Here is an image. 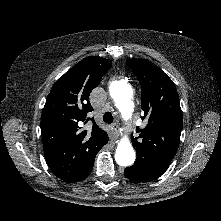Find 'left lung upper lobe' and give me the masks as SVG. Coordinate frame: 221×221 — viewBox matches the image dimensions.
I'll return each mask as SVG.
<instances>
[{"instance_id":"5c2ea615","label":"left lung upper lobe","mask_w":221,"mask_h":221,"mask_svg":"<svg viewBox=\"0 0 221 221\" xmlns=\"http://www.w3.org/2000/svg\"><path fill=\"white\" fill-rule=\"evenodd\" d=\"M141 85L142 120L148 124L132 138L136 148L135 166L168 167L177 152L183 125L179 95L172 80L155 64L145 59L127 61Z\"/></svg>"}]
</instances>
